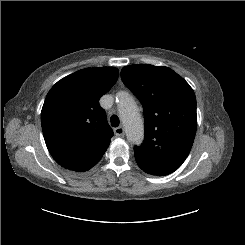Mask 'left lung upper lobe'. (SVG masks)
Returning <instances> with one entry per match:
<instances>
[{
  "instance_id": "5c2ea615",
  "label": "left lung upper lobe",
  "mask_w": 245,
  "mask_h": 245,
  "mask_svg": "<svg viewBox=\"0 0 245 245\" xmlns=\"http://www.w3.org/2000/svg\"><path fill=\"white\" fill-rule=\"evenodd\" d=\"M121 78L144 108L145 139L135 146V158L150 166L178 169L190 152L197 128L193 89L164 66H125Z\"/></svg>"
}]
</instances>
